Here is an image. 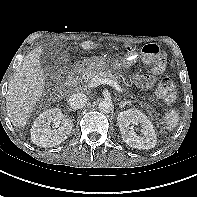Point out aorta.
Listing matches in <instances>:
<instances>
[{"label":"aorta","mask_w":197,"mask_h":197,"mask_svg":"<svg viewBox=\"0 0 197 197\" xmlns=\"http://www.w3.org/2000/svg\"><path fill=\"white\" fill-rule=\"evenodd\" d=\"M98 108L102 113H110L113 110V104L110 100H103L99 103Z\"/></svg>","instance_id":"obj_1"}]
</instances>
